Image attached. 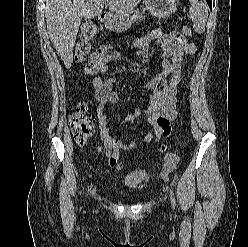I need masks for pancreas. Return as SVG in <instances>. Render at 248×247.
<instances>
[{
    "label": "pancreas",
    "mask_w": 248,
    "mask_h": 247,
    "mask_svg": "<svg viewBox=\"0 0 248 247\" xmlns=\"http://www.w3.org/2000/svg\"><path fill=\"white\" fill-rule=\"evenodd\" d=\"M131 18L133 21H137L139 19V16L138 15H132Z\"/></svg>",
    "instance_id": "pancreas-1"
}]
</instances>
